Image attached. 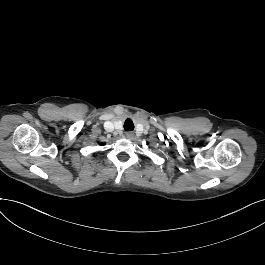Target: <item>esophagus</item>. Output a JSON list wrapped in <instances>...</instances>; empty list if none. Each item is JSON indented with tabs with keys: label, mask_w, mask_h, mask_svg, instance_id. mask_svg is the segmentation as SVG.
Returning a JSON list of instances; mask_svg holds the SVG:
<instances>
[{
	"label": "esophagus",
	"mask_w": 265,
	"mask_h": 265,
	"mask_svg": "<svg viewBox=\"0 0 265 265\" xmlns=\"http://www.w3.org/2000/svg\"><path fill=\"white\" fill-rule=\"evenodd\" d=\"M126 137L128 139L132 140L135 137V134H134V132L129 131V132L126 133Z\"/></svg>",
	"instance_id": "esophagus-1"
}]
</instances>
